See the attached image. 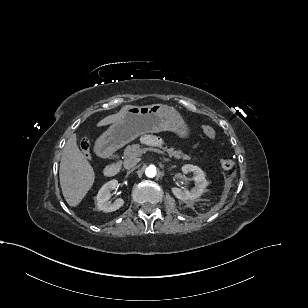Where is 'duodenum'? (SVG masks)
Wrapping results in <instances>:
<instances>
[{"label": "duodenum", "mask_w": 308, "mask_h": 308, "mask_svg": "<svg viewBox=\"0 0 308 308\" xmlns=\"http://www.w3.org/2000/svg\"><path fill=\"white\" fill-rule=\"evenodd\" d=\"M98 153L102 157L113 159V161L106 166L104 174L107 177L116 176L120 171V164L116 159L115 150L108 143H104L99 146Z\"/></svg>", "instance_id": "410a0bca"}]
</instances>
